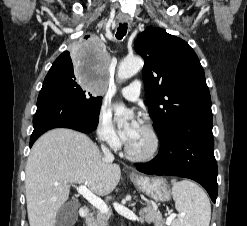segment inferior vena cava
<instances>
[{
	"instance_id": "inferior-vena-cava-1",
	"label": "inferior vena cava",
	"mask_w": 247,
	"mask_h": 226,
	"mask_svg": "<svg viewBox=\"0 0 247 226\" xmlns=\"http://www.w3.org/2000/svg\"><path fill=\"white\" fill-rule=\"evenodd\" d=\"M102 152L105 155L107 159H114L113 154L109 151L108 148H106L104 145L101 146Z\"/></svg>"
}]
</instances>
